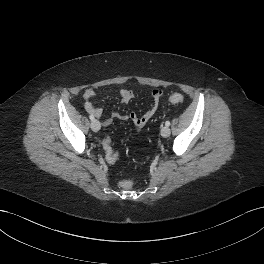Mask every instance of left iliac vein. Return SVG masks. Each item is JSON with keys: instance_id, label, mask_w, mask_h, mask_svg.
Listing matches in <instances>:
<instances>
[{"instance_id": "obj_1", "label": "left iliac vein", "mask_w": 264, "mask_h": 264, "mask_svg": "<svg viewBox=\"0 0 264 264\" xmlns=\"http://www.w3.org/2000/svg\"><path fill=\"white\" fill-rule=\"evenodd\" d=\"M171 131H170V128L168 126H164L162 129H161V135L163 137H168L170 135Z\"/></svg>"}]
</instances>
